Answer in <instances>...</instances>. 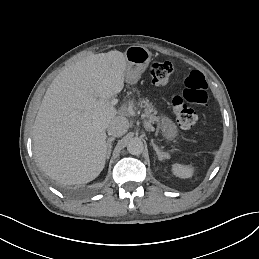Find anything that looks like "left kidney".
<instances>
[{
	"instance_id": "1",
	"label": "left kidney",
	"mask_w": 259,
	"mask_h": 259,
	"mask_svg": "<svg viewBox=\"0 0 259 259\" xmlns=\"http://www.w3.org/2000/svg\"><path fill=\"white\" fill-rule=\"evenodd\" d=\"M173 171L174 173L178 176V177H182V178H188L191 176L192 174V170L189 168H184L181 165H174L173 167Z\"/></svg>"
}]
</instances>
